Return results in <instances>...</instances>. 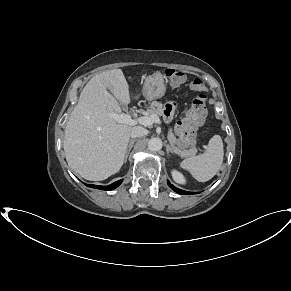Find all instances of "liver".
I'll use <instances>...</instances> for the list:
<instances>
[{
	"instance_id": "liver-1",
	"label": "liver",
	"mask_w": 291,
	"mask_h": 291,
	"mask_svg": "<svg viewBox=\"0 0 291 291\" xmlns=\"http://www.w3.org/2000/svg\"><path fill=\"white\" fill-rule=\"evenodd\" d=\"M130 101L121 69L97 74L83 88L64 135L68 165L82 178L105 180L122 167L133 127L116 122L109 113H120V103Z\"/></svg>"
}]
</instances>
